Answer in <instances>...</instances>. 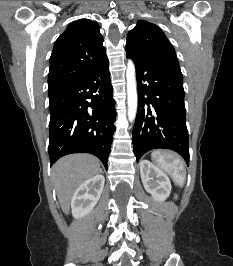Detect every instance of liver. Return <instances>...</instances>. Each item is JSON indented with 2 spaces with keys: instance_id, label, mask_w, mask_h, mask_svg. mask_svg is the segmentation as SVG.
I'll return each instance as SVG.
<instances>
[{
  "instance_id": "liver-1",
  "label": "liver",
  "mask_w": 233,
  "mask_h": 266,
  "mask_svg": "<svg viewBox=\"0 0 233 266\" xmlns=\"http://www.w3.org/2000/svg\"><path fill=\"white\" fill-rule=\"evenodd\" d=\"M101 171L99 161L89 154H72L59 159L52 167L57 197L65 214L76 189Z\"/></svg>"
}]
</instances>
